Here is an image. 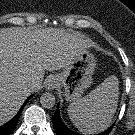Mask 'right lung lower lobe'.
<instances>
[{
    "label": "right lung lower lobe",
    "mask_w": 135,
    "mask_h": 135,
    "mask_svg": "<svg viewBox=\"0 0 135 135\" xmlns=\"http://www.w3.org/2000/svg\"><path fill=\"white\" fill-rule=\"evenodd\" d=\"M31 98L28 97V99L25 101V103L22 105L21 109L18 111L17 115L8 123H6L5 125L0 127V135H10L11 132L15 129L17 122L19 120V117L21 115L22 109L24 108V106L26 105V103L28 102V100Z\"/></svg>",
    "instance_id": "1"
}]
</instances>
